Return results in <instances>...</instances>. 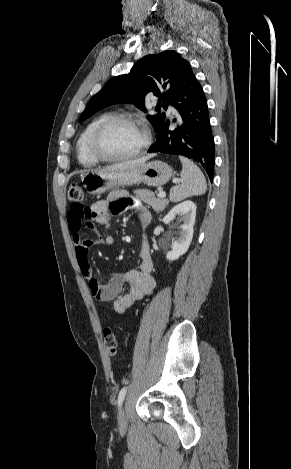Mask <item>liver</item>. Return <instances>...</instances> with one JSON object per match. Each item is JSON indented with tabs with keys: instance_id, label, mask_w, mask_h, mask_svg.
I'll use <instances>...</instances> for the list:
<instances>
[{
	"instance_id": "liver-1",
	"label": "liver",
	"mask_w": 291,
	"mask_h": 469,
	"mask_svg": "<svg viewBox=\"0 0 291 469\" xmlns=\"http://www.w3.org/2000/svg\"><path fill=\"white\" fill-rule=\"evenodd\" d=\"M151 157H153V155H147L138 159L124 161V162L109 166L101 171H114V170H123L127 168H133V167L144 164Z\"/></svg>"
}]
</instances>
